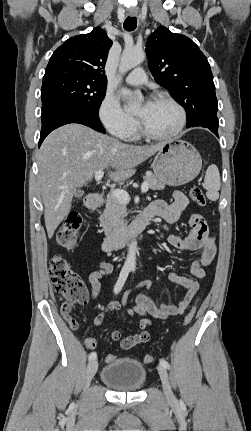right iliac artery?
Wrapping results in <instances>:
<instances>
[{
  "label": "right iliac artery",
  "mask_w": 251,
  "mask_h": 431,
  "mask_svg": "<svg viewBox=\"0 0 251 431\" xmlns=\"http://www.w3.org/2000/svg\"><path fill=\"white\" fill-rule=\"evenodd\" d=\"M129 272H130V268L129 267H125L124 266L122 268V270L120 272V275H119V278H118V280H117V282H116V284L114 286V293L115 294H118L121 291V289H122V287H123V285H124V283H125V281H126V279L128 277ZM96 357H97L96 352H91L89 354V361L95 360Z\"/></svg>",
  "instance_id": "1"
}]
</instances>
